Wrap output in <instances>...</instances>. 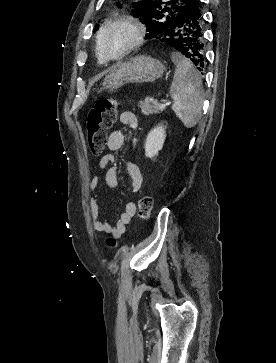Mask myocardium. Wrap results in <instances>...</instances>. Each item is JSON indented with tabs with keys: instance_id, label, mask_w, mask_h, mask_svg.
I'll return each mask as SVG.
<instances>
[{
	"instance_id": "myocardium-1",
	"label": "myocardium",
	"mask_w": 276,
	"mask_h": 363,
	"mask_svg": "<svg viewBox=\"0 0 276 363\" xmlns=\"http://www.w3.org/2000/svg\"><path fill=\"white\" fill-rule=\"evenodd\" d=\"M125 27L132 33L129 44L117 55L111 56L106 52L105 40L107 36L116 28ZM145 27L142 22L133 16H121L110 21L99 35V51L101 57L106 62L119 61L136 50L144 41Z\"/></svg>"
}]
</instances>
